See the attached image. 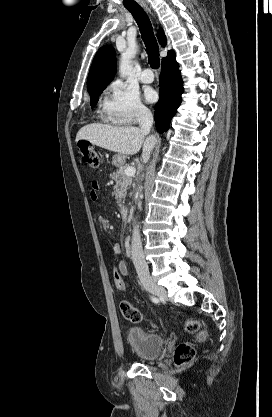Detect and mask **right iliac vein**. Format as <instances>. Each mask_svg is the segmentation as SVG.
I'll list each match as a JSON object with an SVG mask.
<instances>
[{
    "label": "right iliac vein",
    "instance_id": "obj_1",
    "mask_svg": "<svg viewBox=\"0 0 272 417\" xmlns=\"http://www.w3.org/2000/svg\"><path fill=\"white\" fill-rule=\"evenodd\" d=\"M141 282L142 285L144 286V288L151 292L154 295H157L160 298L165 299L167 297V292L166 290L158 285L153 279H151L150 277H141Z\"/></svg>",
    "mask_w": 272,
    "mask_h": 417
}]
</instances>
